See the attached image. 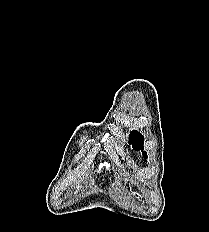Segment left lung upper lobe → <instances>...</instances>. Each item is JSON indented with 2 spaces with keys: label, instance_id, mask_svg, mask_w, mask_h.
Returning a JSON list of instances; mask_svg holds the SVG:
<instances>
[{
  "label": "left lung upper lobe",
  "instance_id": "left-lung-upper-lobe-1",
  "mask_svg": "<svg viewBox=\"0 0 209 232\" xmlns=\"http://www.w3.org/2000/svg\"><path fill=\"white\" fill-rule=\"evenodd\" d=\"M143 142H144V137L138 132V131H132L130 133L129 137V144H132V147L134 149H141L143 151ZM144 157L147 158L146 152H144Z\"/></svg>",
  "mask_w": 209,
  "mask_h": 232
}]
</instances>
